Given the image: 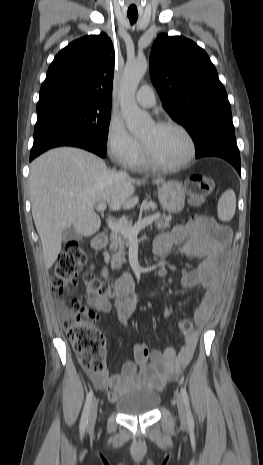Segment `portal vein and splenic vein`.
<instances>
[{
    "label": "portal vein and splenic vein",
    "mask_w": 263,
    "mask_h": 465,
    "mask_svg": "<svg viewBox=\"0 0 263 465\" xmlns=\"http://www.w3.org/2000/svg\"><path fill=\"white\" fill-rule=\"evenodd\" d=\"M107 208L106 203H100L96 206V210L98 212H104ZM159 218V215H152L149 216L139 222H137L134 227H128L126 224H121L114 222L112 219H108L107 224L108 227L113 231V232H119L129 239H136L139 231L151 224L155 219Z\"/></svg>",
    "instance_id": "portal-vein-and-splenic-vein-1"
}]
</instances>
